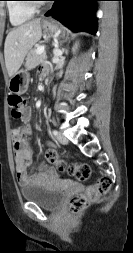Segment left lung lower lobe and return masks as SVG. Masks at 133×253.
<instances>
[{
    "label": "left lung lower lobe",
    "instance_id": "obj_1",
    "mask_svg": "<svg viewBox=\"0 0 133 253\" xmlns=\"http://www.w3.org/2000/svg\"><path fill=\"white\" fill-rule=\"evenodd\" d=\"M45 14L57 19L71 30L96 33L95 2L100 0H53Z\"/></svg>",
    "mask_w": 133,
    "mask_h": 253
}]
</instances>
